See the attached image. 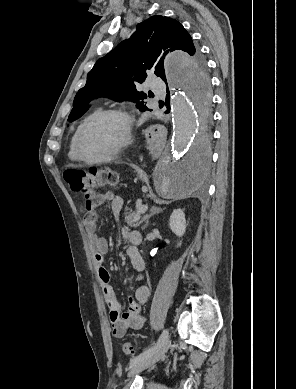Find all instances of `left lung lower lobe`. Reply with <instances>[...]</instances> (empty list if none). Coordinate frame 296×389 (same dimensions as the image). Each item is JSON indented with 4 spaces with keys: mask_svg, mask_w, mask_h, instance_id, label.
<instances>
[{
    "mask_svg": "<svg viewBox=\"0 0 296 389\" xmlns=\"http://www.w3.org/2000/svg\"><path fill=\"white\" fill-rule=\"evenodd\" d=\"M193 87L195 89H198L199 87L198 86H194ZM170 93H169V90L167 89V95H166V102H165V106H167V111L166 113H168L170 111ZM206 155L204 154V152H200V151H197V153L193 154L191 156V158L188 160V162L185 164V166L182 168V172H181V175L180 177H184L183 174L186 173V172H189V174L191 175H194L195 172H197V170H199L206 162ZM191 177V176H189ZM189 177H184L183 179H186L187 182L190 184L189 182ZM191 185V189L193 188V184H190Z\"/></svg>",
    "mask_w": 296,
    "mask_h": 389,
    "instance_id": "1",
    "label": "left lung lower lobe"
}]
</instances>
